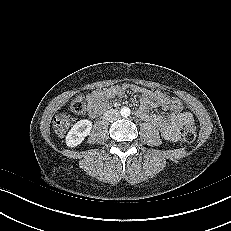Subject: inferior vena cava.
Here are the masks:
<instances>
[{"label": "inferior vena cava", "instance_id": "obj_1", "mask_svg": "<svg viewBox=\"0 0 231 231\" xmlns=\"http://www.w3.org/2000/svg\"><path fill=\"white\" fill-rule=\"evenodd\" d=\"M120 117V113L116 109H109L104 112V119L107 121H115Z\"/></svg>", "mask_w": 231, "mask_h": 231}]
</instances>
